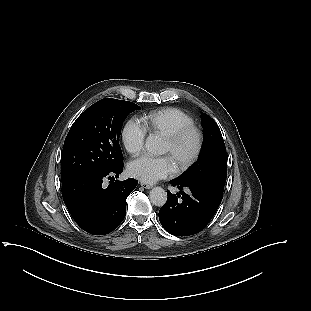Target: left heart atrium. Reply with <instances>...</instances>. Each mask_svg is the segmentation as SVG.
I'll return each instance as SVG.
<instances>
[{"label": "left heart atrium", "instance_id": "39dd6f15", "mask_svg": "<svg viewBox=\"0 0 311 311\" xmlns=\"http://www.w3.org/2000/svg\"><path fill=\"white\" fill-rule=\"evenodd\" d=\"M131 176L147 183L168 177L173 172L171 160L166 157L143 155L132 161L128 167Z\"/></svg>", "mask_w": 311, "mask_h": 311}]
</instances>
